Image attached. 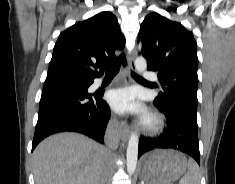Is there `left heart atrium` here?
I'll return each instance as SVG.
<instances>
[{"label": "left heart atrium", "mask_w": 235, "mask_h": 184, "mask_svg": "<svg viewBox=\"0 0 235 184\" xmlns=\"http://www.w3.org/2000/svg\"><path fill=\"white\" fill-rule=\"evenodd\" d=\"M108 102L119 113H134L144 118L146 109L140 104L134 94L128 90H114L108 96Z\"/></svg>", "instance_id": "1"}]
</instances>
